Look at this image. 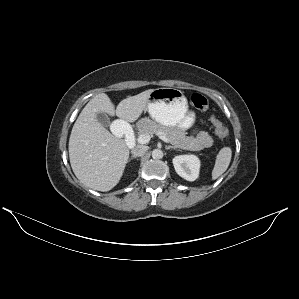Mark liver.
Returning <instances> with one entry per match:
<instances>
[{
    "label": "liver",
    "instance_id": "liver-1",
    "mask_svg": "<svg viewBox=\"0 0 299 299\" xmlns=\"http://www.w3.org/2000/svg\"><path fill=\"white\" fill-rule=\"evenodd\" d=\"M152 91L127 97L116 109L108 95L100 93L83 108L69 138L70 164L80 182L103 192L118 184L129 158V148L123 139L112 135L97 121V113L134 122L146 108Z\"/></svg>",
    "mask_w": 299,
    "mask_h": 299
}]
</instances>
